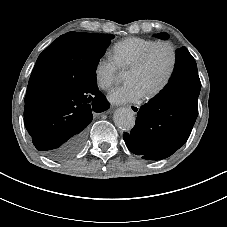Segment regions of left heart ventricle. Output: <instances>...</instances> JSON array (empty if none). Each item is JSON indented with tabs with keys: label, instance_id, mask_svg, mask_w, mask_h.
<instances>
[{
	"label": "left heart ventricle",
	"instance_id": "obj_1",
	"mask_svg": "<svg viewBox=\"0 0 227 227\" xmlns=\"http://www.w3.org/2000/svg\"><path fill=\"white\" fill-rule=\"evenodd\" d=\"M171 54L165 47L155 50L148 64L139 72H128L126 82L136 84L146 95L157 88L166 76Z\"/></svg>",
	"mask_w": 227,
	"mask_h": 227
}]
</instances>
